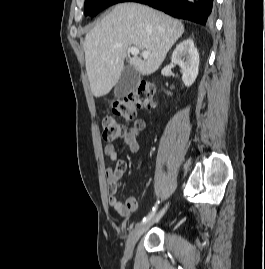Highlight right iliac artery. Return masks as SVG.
Instances as JSON below:
<instances>
[{"label":"right iliac artery","mask_w":265,"mask_h":269,"mask_svg":"<svg viewBox=\"0 0 265 269\" xmlns=\"http://www.w3.org/2000/svg\"><path fill=\"white\" fill-rule=\"evenodd\" d=\"M158 204H159V201L156 202V204L154 205V207L152 208L150 213L146 217L143 218L140 225L146 223L147 221H149L154 216V214H155V212L157 210Z\"/></svg>","instance_id":"82829eb1"}]
</instances>
